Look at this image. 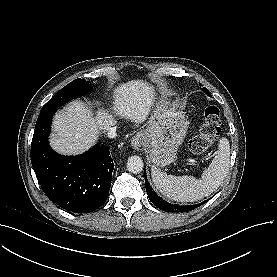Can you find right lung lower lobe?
Instances as JSON below:
<instances>
[{
    "mask_svg": "<svg viewBox=\"0 0 277 277\" xmlns=\"http://www.w3.org/2000/svg\"><path fill=\"white\" fill-rule=\"evenodd\" d=\"M56 109L41 111L31 143V162L47 197L74 213L98 209L107 199L114 163L109 146H94L79 156L51 149L48 135Z\"/></svg>",
    "mask_w": 277,
    "mask_h": 277,
    "instance_id": "98d812e1",
    "label": "right lung lower lobe"
}]
</instances>
